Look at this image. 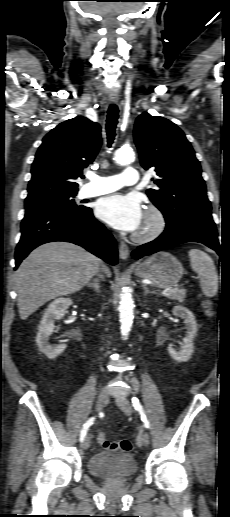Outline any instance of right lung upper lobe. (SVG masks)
<instances>
[{
	"label": "right lung upper lobe",
	"mask_w": 230,
	"mask_h": 517,
	"mask_svg": "<svg viewBox=\"0 0 230 517\" xmlns=\"http://www.w3.org/2000/svg\"><path fill=\"white\" fill-rule=\"evenodd\" d=\"M100 131L98 123L81 116L52 129L36 153L25 201L77 192L75 180L101 146Z\"/></svg>",
	"instance_id": "cb5924a9"
}]
</instances>
